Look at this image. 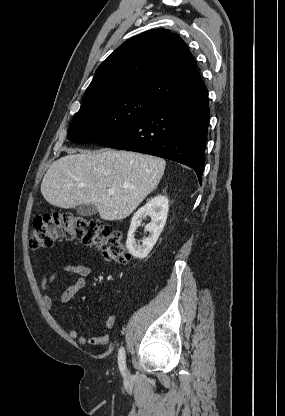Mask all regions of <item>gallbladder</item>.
Listing matches in <instances>:
<instances>
[{
	"label": "gallbladder",
	"mask_w": 285,
	"mask_h": 416,
	"mask_svg": "<svg viewBox=\"0 0 285 416\" xmlns=\"http://www.w3.org/2000/svg\"><path fill=\"white\" fill-rule=\"evenodd\" d=\"M76 212L79 216H93V214H97L98 210L94 204H89V206L82 204V206H78Z\"/></svg>",
	"instance_id": "gallbladder-1"
}]
</instances>
